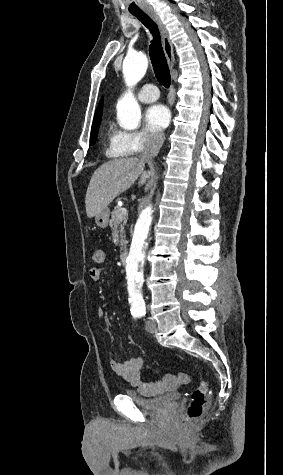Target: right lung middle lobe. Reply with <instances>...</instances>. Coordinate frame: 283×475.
<instances>
[{
  "label": "right lung middle lobe",
  "instance_id": "obj_1",
  "mask_svg": "<svg viewBox=\"0 0 283 475\" xmlns=\"http://www.w3.org/2000/svg\"><path fill=\"white\" fill-rule=\"evenodd\" d=\"M101 116H102V105L98 106L95 115H94V120H93V125L91 129V137H90V144L94 145L96 142V137L99 129V125L101 122Z\"/></svg>",
  "mask_w": 283,
  "mask_h": 475
}]
</instances>
